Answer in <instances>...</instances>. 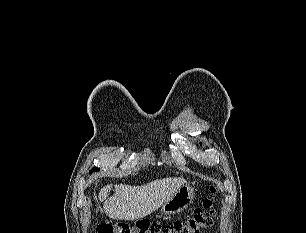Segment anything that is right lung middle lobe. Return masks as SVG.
<instances>
[{
	"label": "right lung middle lobe",
	"instance_id": "1",
	"mask_svg": "<svg viewBox=\"0 0 306 233\" xmlns=\"http://www.w3.org/2000/svg\"><path fill=\"white\" fill-rule=\"evenodd\" d=\"M99 170H100L99 168H96V167H95V168H93V169L90 170V173H92L93 171H99Z\"/></svg>",
	"mask_w": 306,
	"mask_h": 233
}]
</instances>
